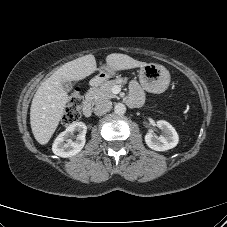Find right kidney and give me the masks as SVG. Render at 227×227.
Returning a JSON list of instances; mask_svg holds the SVG:
<instances>
[{
    "label": "right kidney",
    "instance_id": "ca27d5eb",
    "mask_svg": "<svg viewBox=\"0 0 227 227\" xmlns=\"http://www.w3.org/2000/svg\"><path fill=\"white\" fill-rule=\"evenodd\" d=\"M87 127L83 122H74L69 125L65 131L60 133L52 145V151L55 155L68 158L78 154L85 145V135ZM77 133L76 140L72 138Z\"/></svg>",
    "mask_w": 227,
    "mask_h": 227
}]
</instances>
